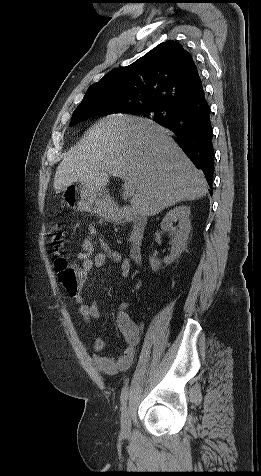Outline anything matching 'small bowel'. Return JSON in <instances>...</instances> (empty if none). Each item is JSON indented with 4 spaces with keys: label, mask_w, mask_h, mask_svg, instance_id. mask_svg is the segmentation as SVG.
<instances>
[{
    "label": "small bowel",
    "mask_w": 261,
    "mask_h": 476,
    "mask_svg": "<svg viewBox=\"0 0 261 476\" xmlns=\"http://www.w3.org/2000/svg\"><path fill=\"white\" fill-rule=\"evenodd\" d=\"M89 236L82 240V250L77 254V259L81 261L77 268L79 274V286L75 292H68L76 301L79 312L86 323L101 316L100 309L95 301L87 302L83 288L90 271L93 268H102L108 260L119 264L120 274L123 278H128L131 274L132 266L128 259L123 258L117 251L110 248L102 235L93 224L88 227ZM95 246L99 247V252L94 254ZM130 302L124 300L118 306L116 323L121 330L127 344L123 354L117 357L107 356L106 342L100 337L93 339V363L95 367L107 374H116L129 370L135 360L137 346L141 342L142 325L135 323L128 314Z\"/></svg>",
    "instance_id": "c3829d8e"
}]
</instances>
